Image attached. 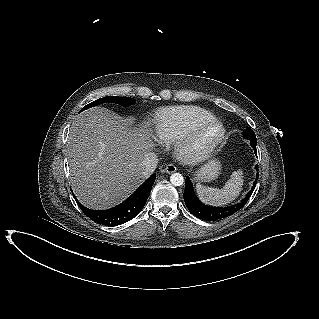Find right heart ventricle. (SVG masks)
Here are the masks:
<instances>
[{"instance_id": "1", "label": "right heart ventricle", "mask_w": 319, "mask_h": 319, "mask_svg": "<svg viewBox=\"0 0 319 319\" xmlns=\"http://www.w3.org/2000/svg\"><path fill=\"white\" fill-rule=\"evenodd\" d=\"M214 118L209 111L197 106H171L154 115L153 129L163 142H175L201 122Z\"/></svg>"}]
</instances>
